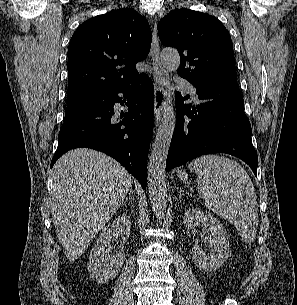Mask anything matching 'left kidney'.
I'll use <instances>...</instances> for the list:
<instances>
[{
	"mask_svg": "<svg viewBox=\"0 0 297 305\" xmlns=\"http://www.w3.org/2000/svg\"><path fill=\"white\" fill-rule=\"evenodd\" d=\"M183 222L188 229H195L202 223L204 230L210 232V236L203 239L206 252L194 245L192 259L195 266L204 272L217 270L229 257L228 235L223 225L199 209L187 210Z\"/></svg>",
	"mask_w": 297,
	"mask_h": 305,
	"instance_id": "obj_1",
	"label": "left kidney"
}]
</instances>
